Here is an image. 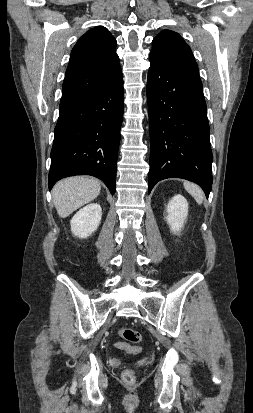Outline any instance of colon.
<instances>
[{"mask_svg":"<svg viewBox=\"0 0 253 413\" xmlns=\"http://www.w3.org/2000/svg\"><path fill=\"white\" fill-rule=\"evenodd\" d=\"M119 335L125 339L126 341L132 343V344H138L142 337L141 334L132 329V328H128V327H122L119 330ZM116 347L126 350L127 352L130 353H138L140 352V348L135 346V345H129L127 343L124 342H117L116 343ZM122 379L125 383L128 384H132L135 381V372L132 369H127L123 372L122 374Z\"/></svg>","mask_w":253,"mask_h":413,"instance_id":"1","label":"colon"}]
</instances>
